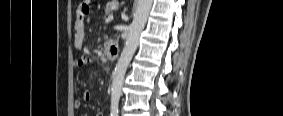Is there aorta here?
Here are the masks:
<instances>
[{
    "label": "aorta",
    "instance_id": "1",
    "mask_svg": "<svg viewBox=\"0 0 283 116\" xmlns=\"http://www.w3.org/2000/svg\"><path fill=\"white\" fill-rule=\"evenodd\" d=\"M153 0H137V5L134 13L133 21L129 28V33L121 53V56L116 65L111 86V103H118L121 93L124 76L127 67L138 47L140 34L142 33L151 7Z\"/></svg>",
    "mask_w": 283,
    "mask_h": 116
}]
</instances>
